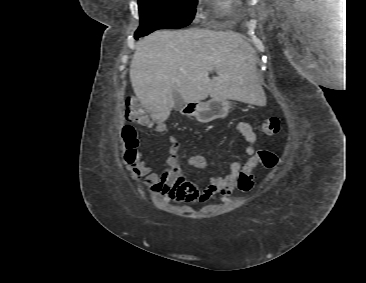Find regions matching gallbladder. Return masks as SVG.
Here are the masks:
<instances>
[{"label": "gallbladder", "mask_w": 366, "mask_h": 283, "mask_svg": "<svg viewBox=\"0 0 366 283\" xmlns=\"http://www.w3.org/2000/svg\"><path fill=\"white\" fill-rule=\"evenodd\" d=\"M174 96V100H175V110H180L182 108V106L184 105V100L181 97V95L178 92H174L173 94Z\"/></svg>", "instance_id": "1"}]
</instances>
